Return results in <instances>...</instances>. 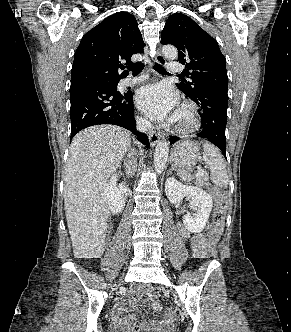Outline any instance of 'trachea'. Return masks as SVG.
I'll use <instances>...</instances> for the list:
<instances>
[{
  "mask_svg": "<svg viewBox=\"0 0 291 332\" xmlns=\"http://www.w3.org/2000/svg\"><path fill=\"white\" fill-rule=\"evenodd\" d=\"M144 68V63L138 62L134 65H132L129 69L133 72L134 75L139 74ZM153 68L162 74H169L163 67H161L158 63H155Z\"/></svg>",
  "mask_w": 291,
  "mask_h": 332,
  "instance_id": "3493384b",
  "label": "trachea"
}]
</instances>
